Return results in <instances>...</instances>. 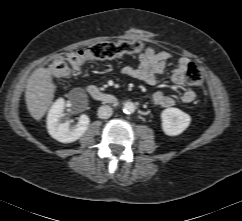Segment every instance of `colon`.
I'll list each match as a JSON object with an SVG mask.
<instances>
[{
	"instance_id": "5ec220e1",
	"label": "colon",
	"mask_w": 242,
	"mask_h": 221,
	"mask_svg": "<svg viewBox=\"0 0 242 221\" xmlns=\"http://www.w3.org/2000/svg\"><path fill=\"white\" fill-rule=\"evenodd\" d=\"M143 51L144 45L140 40L96 43L88 49L74 50L56 57L50 63L48 71L51 77L61 79L79 73L88 62L109 60ZM186 79L189 85L196 88H201L204 84L203 73L195 63L188 64Z\"/></svg>"
}]
</instances>
